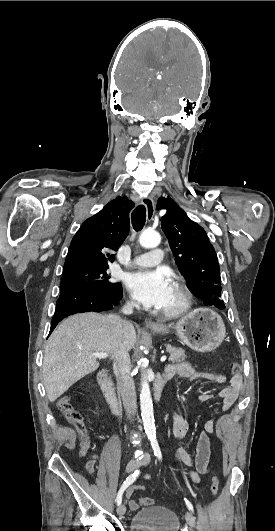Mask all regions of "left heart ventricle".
Wrapping results in <instances>:
<instances>
[{
	"label": "left heart ventricle",
	"instance_id": "1",
	"mask_svg": "<svg viewBox=\"0 0 275 531\" xmlns=\"http://www.w3.org/2000/svg\"><path fill=\"white\" fill-rule=\"evenodd\" d=\"M179 299H180L179 293L174 287V285L172 284L164 304L158 309L163 311V310L172 308L178 304Z\"/></svg>",
	"mask_w": 275,
	"mask_h": 531
}]
</instances>
